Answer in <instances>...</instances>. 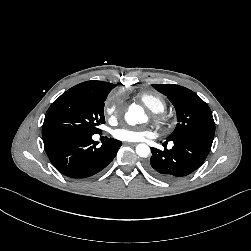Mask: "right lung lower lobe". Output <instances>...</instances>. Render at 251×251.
<instances>
[{"instance_id":"right-lung-lower-lobe-1","label":"right lung lower lobe","mask_w":251,"mask_h":251,"mask_svg":"<svg viewBox=\"0 0 251 251\" xmlns=\"http://www.w3.org/2000/svg\"><path fill=\"white\" fill-rule=\"evenodd\" d=\"M54 167L73 179H86L103 170L116 156L121 142L107 139L100 147L92 135H58L43 139Z\"/></svg>"}]
</instances>
